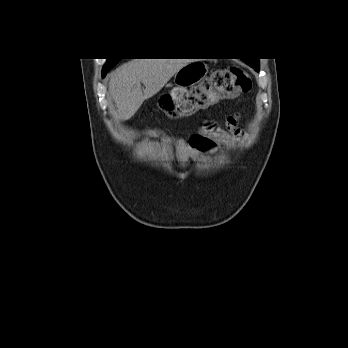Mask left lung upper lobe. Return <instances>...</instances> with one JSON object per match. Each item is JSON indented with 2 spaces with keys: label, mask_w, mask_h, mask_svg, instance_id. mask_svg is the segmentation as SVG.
<instances>
[{
  "label": "left lung upper lobe",
  "mask_w": 348,
  "mask_h": 348,
  "mask_svg": "<svg viewBox=\"0 0 348 348\" xmlns=\"http://www.w3.org/2000/svg\"><path fill=\"white\" fill-rule=\"evenodd\" d=\"M248 65L253 67L256 71H259V61L258 59L244 60Z\"/></svg>",
  "instance_id": "left-lung-upper-lobe-1"
}]
</instances>
